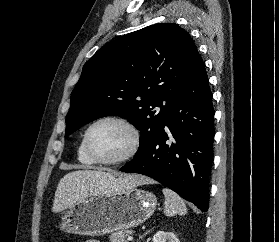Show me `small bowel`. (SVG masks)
<instances>
[{"label": "small bowel", "instance_id": "c3829d8e", "mask_svg": "<svg viewBox=\"0 0 279 242\" xmlns=\"http://www.w3.org/2000/svg\"><path fill=\"white\" fill-rule=\"evenodd\" d=\"M85 242H99V241L91 239V240H87Z\"/></svg>", "mask_w": 279, "mask_h": 242}]
</instances>
